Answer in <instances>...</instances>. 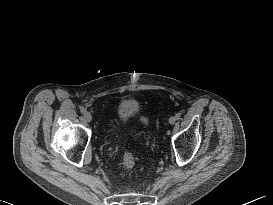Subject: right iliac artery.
Returning a JSON list of instances; mask_svg holds the SVG:
<instances>
[{
	"label": "right iliac artery",
	"instance_id": "obj_1",
	"mask_svg": "<svg viewBox=\"0 0 273 205\" xmlns=\"http://www.w3.org/2000/svg\"><path fill=\"white\" fill-rule=\"evenodd\" d=\"M80 111H81V113H85L86 109L82 106V107H80Z\"/></svg>",
	"mask_w": 273,
	"mask_h": 205
}]
</instances>
